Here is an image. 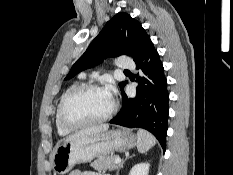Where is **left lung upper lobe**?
Segmentation results:
<instances>
[{
  "label": "left lung upper lobe",
  "instance_id": "left-lung-upper-lobe-1",
  "mask_svg": "<svg viewBox=\"0 0 233 175\" xmlns=\"http://www.w3.org/2000/svg\"><path fill=\"white\" fill-rule=\"evenodd\" d=\"M153 44L139 21L127 13H118L108 21L85 53L75 62L65 80L87 68L98 65L104 58L129 55L136 61ZM127 81L120 83V88Z\"/></svg>",
  "mask_w": 233,
  "mask_h": 175
}]
</instances>
